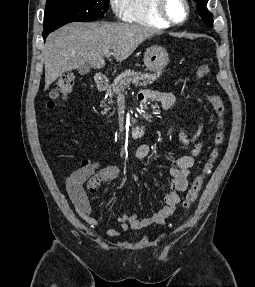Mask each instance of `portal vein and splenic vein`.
Returning <instances> with one entry per match:
<instances>
[{
  "mask_svg": "<svg viewBox=\"0 0 255 287\" xmlns=\"http://www.w3.org/2000/svg\"><path fill=\"white\" fill-rule=\"evenodd\" d=\"M104 56H106V58H110L111 52H106V54H104Z\"/></svg>",
  "mask_w": 255,
  "mask_h": 287,
  "instance_id": "18ae733b",
  "label": "portal vein and splenic vein"
}]
</instances>
